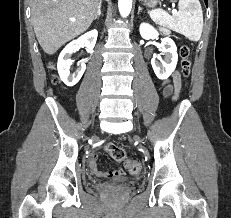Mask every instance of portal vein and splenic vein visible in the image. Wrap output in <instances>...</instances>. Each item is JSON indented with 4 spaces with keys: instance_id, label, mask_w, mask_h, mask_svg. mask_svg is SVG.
Segmentation results:
<instances>
[{
    "instance_id": "1",
    "label": "portal vein and splenic vein",
    "mask_w": 231,
    "mask_h": 218,
    "mask_svg": "<svg viewBox=\"0 0 231 218\" xmlns=\"http://www.w3.org/2000/svg\"><path fill=\"white\" fill-rule=\"evenodd\" d=\"M172 13H173V14H175V13H176V10H175V9H173V10H172ZM70 21L74 22V21H75V19H74V18H71V19H70Z\"/></svg>"
}]
</instances>
